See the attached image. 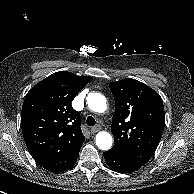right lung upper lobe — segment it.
Masks as SVG:
<instances>
[{"instance_id":"right-lung-upper-lobe-1","label":"right lung upper lobe","mask_w":194,"mask_h":194,"mask_svg":"<svg viewBox=\"0 0 194 194\" xmlns=\"http://www.w3.org/2000/svg\"><path fill=\"white\" fill-rule=\"evenodd\" d=\"M88 76L56 72L27 93L21 112L24 141L35 161L51 172H63L76 162L85 140L79 112L71 102L89 82Z\"/></svg>"}]
</instances>
